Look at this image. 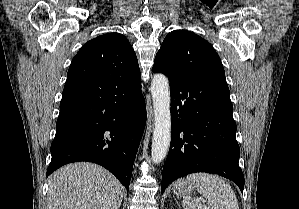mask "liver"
<instances>
[{"label":"liver","mask_w":299,"mask_h":209,"mask_svg":"<svg viewBox=\"0 0 299 209\" xmlns=\"http://www.w3.org/2000/svg\"><path fill=\"white\" fill-rule=\"evenodd\" d=\"M123 193L122 184L108 170L73 163L50 176L47 209H118Z\"/></svg>","instance_id":"6515ba94"}]
</instances>
